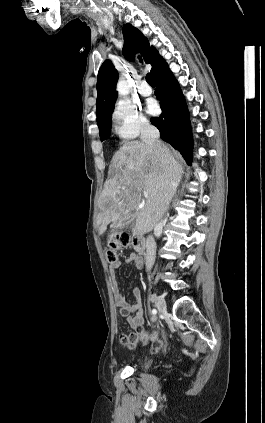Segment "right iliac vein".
<instances>
[{"instance_id":"1","label":"right iliac vein","mask_w":265,"mask_h":423,"mask_svg":"<svg viewBox=\"0 0 265 423\" xmlns=\"http://www.w3.org/2000/svg\"><path fill=\"white\" fill-rule=\"evenodd\" d=\"M155 303H156V306H157L158 312H159L160 314H162V313L166 310V303H165V300H164L161 296H159V297H157V298H156Z\"/></svg>"}]
</instances>
